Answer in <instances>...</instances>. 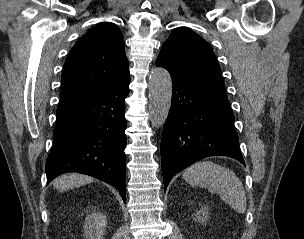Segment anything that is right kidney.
Here are the masks:
<instances>
[{
  "label": "right kidney",
  "mask_w": 304,
  "mask_h": 239,
  "mask_svg": "<svg viewBox=\"0 0 304 239\" xmlns=\"http://www.w3.org/2000/svg\"><path fill=\"white\" fill-rule=\"evenodd\" d=\"M106 216L101 213H92L84 221V239H102L106 231Z\"/></svg>",
  "instance_id": "obj_1"
}]
</instances>
